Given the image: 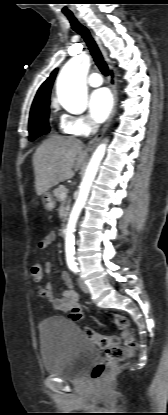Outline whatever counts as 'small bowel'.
I'll use <instances>...</instances> for the list:
<instances>
[{
  "instance_id": "c3829d8e",
  "label": "small bowel",
  "mask_w": 168,
  "mask_h": 415,
  "mask_svg": "<svg viewBox=\"0 0 168 415\" xmlns=\"http://www.w3.org/2000/svg\"><path fill=\"white\" fill-rule=\"evenodd\" d=\"M56 239L55 232H50L46 237L39 243V248L42 250L48 249ZM43 275L44 273L48 274L51 277L49 283L42 287L40 284L37 285V290L40 296L46 300L53 309L67 313L68 317L73 321H79L84 317L82 306L79 301V295L74 290L73 284L70 276L67 272L61 273V279L64 284L67 286V289L61 293L60 297H55L53 295V285H52V264L47 261L42 267Z\"/></svg>"
}]
</instances>
